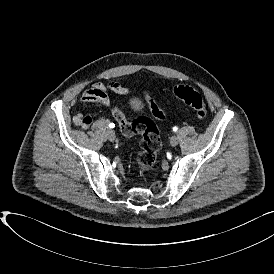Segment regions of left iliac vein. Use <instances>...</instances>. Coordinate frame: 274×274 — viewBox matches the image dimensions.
Returning <instances> with one entry per match:
<instances>
[{
    "instance_id": "4c4485c4",
    "label": "left iliac vein",
    "mask_w": 274,
    "mask_h": 274,
    "mask_svg": "<svg viewBox=\"0 0 274 274\" xmlns=\"http://www.w3.org/2000/svg\"><path fill=\"white\" fill-rule=\"evenodd\" d=\"M178 143H179V139H178L177 136L174 135V136H172V137L170 138V144H171L172 146H177Z\"/></svg>"
}]
</instances>
